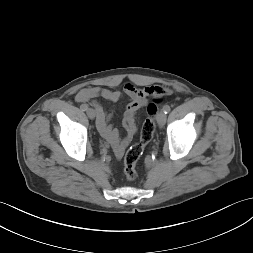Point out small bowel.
I'll list each match as a JSON object with an SVG mask.
<instances>
[{
  "instance_id": "c3829d8e",
  "label": "small bowel",
  "mask_w": 253,
  "mask_h": 253,
  "mask_svg": "<svg viewBox=\"0 0 253 253\" xmlns=\"http://www.w3.org/2000/svg\"><path fill=\"white\" fill-rule=\"evenodd\" d=\"M157 87L159 86L138 88L131 83L124 86V93L129 97L130 102L123 117V126L126 130V135L123 138L120 137L118 130L109 123L111 114L97 101V98L101 97L107 101L117 102L122 97L120 91L92 86L81 89L75 99L79 103L91 102L97 116L96 125L100 134L111 144L116 156L121 157L137 131V111L146 105L149 97L155 95Z\"/></svg>"
}]
</instances>
